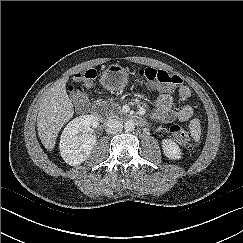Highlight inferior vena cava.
Wrapping results in <instances>:
<instances>
[{"label":"inferior vena cava","instance_id":"1","mask_svg":"<svg viewBox=\"0 0 243 243\" xmlns=\"http://www.w3.org/2000/svg\"><path fill=\"white\" fill-rule=\"evenodd\" d=\"M123 129V123L119 119H109L106 122L105 130L108 134H116Z\"/></svg>","mask_w":243,"mask_h":243}]
</instances>
